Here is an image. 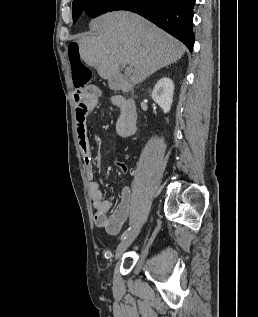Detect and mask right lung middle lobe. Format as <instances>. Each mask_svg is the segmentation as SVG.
Instances as JSON below:
<instances>
[{
    "label": "right lung middle lobe",
    "instance_id": "dd1d6c3e",
    "mask_svg": "<svg viewBox=\"0 0 258 317\" xmlns=\"http://www.w3.org/2000/svg\"><path fill=\"white\" fill-rule=\"evenodd\" d=\"M116 1L117 0H73V21H77L86 7L98 9V11H101V14L110 12Z\"/></svg>",
    "mask_w": 258,
    "mask_h": 317
}]
</instances>
